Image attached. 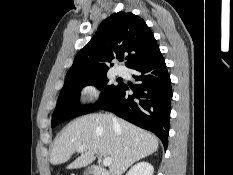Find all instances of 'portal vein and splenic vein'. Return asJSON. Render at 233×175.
Masks as SVG:
<instances>
[{
  "mask_svg": "<svg viewBox=\"0 0 233 175\" xmlns=\"http://www.w3.org/2000/svg\"><path fill=\"white\" fill-rule=\"evenodd\" d=\"M85 150V146H81L79 147L78 151L79 152H83ZM102 163L104 166H110L111 163H112V159L109 158V157H105L103 160H102Z\"/></svg>",
  "mask_w": 233,
  "mask_h": 175,
  "instance_id": "portal-vein-and-splenic-vein-1",
  "label": "portal vein and splenic vein"
}]
</instances>
